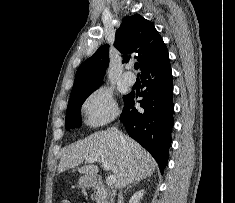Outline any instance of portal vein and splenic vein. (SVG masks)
<instances>
[{"label": "portal vein and splenic vein", "mask_w": 235, "mask_h": 203, "mask_svg": "<svg viewBox=\"0 0 235 203\" xmlns=\"http://www.w3.org/2000/svg\"><path fill=\"white\" fill-rule=\"evenodd\" d=\"M95 161L102 162V165H103L104 169L105 170H110V165L107 162H104V161H101L100 159H95V158L86 159V162H88V163H92V162H95ZM115 181H116V176L115 175H110L106 179V184L108 186H112L115 183Z\"/></svg>", "instance_id": "1"}]
</instances>
